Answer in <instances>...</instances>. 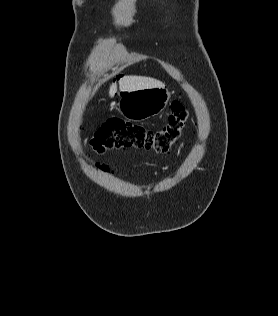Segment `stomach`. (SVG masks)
Wrapping results in <instances>:
<instances>
[{"label":"stomach","mask_w":278,"mask_h":316,"mask_svg":"<svg viewBox=\"0 0 278 316\" xmlns=\"http://www.w3.org/2000/svg\"><path fill=\"white\" fill-rule=\"evenodd\" d=\"M170 93L164 87L146 88L121 94L119 112L128 120L141 121L164 110Z\"/></svg>","instance_id":"1"}]
</instances>
